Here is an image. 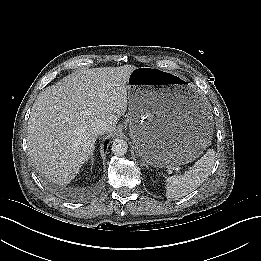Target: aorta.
<instances>
[{
    "label": "aorta",
    "mask_w": 261,
    "mask_h": 261,
    "mask_svg": "<svg viewBox=\"0 0 261 261\" xmlns=\"http://www.w3.org/2000/svg\"><path fill=\"white\" fill-rule=\"evenodd\" d=\"M112 152L116 156H123L127 153L128 150V144L123 139H116L111 148Z\"/></svg>",
    "instance_id": "obj_1"
}]
</instances>
